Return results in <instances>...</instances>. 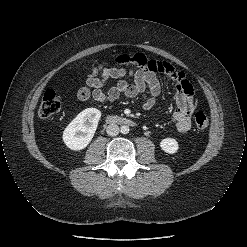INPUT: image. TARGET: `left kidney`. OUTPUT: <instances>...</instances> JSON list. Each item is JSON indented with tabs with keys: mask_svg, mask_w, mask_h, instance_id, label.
I'll return each instance as SVG.
<instances>
[{
	"mask_svg": "<svg viewBox=\"0 0 247 247\" xmlns=\"http://www.w3.org/2000/svg\"><path fill=\"white\" fill-rule=\"evenodd\" d=\"M161 149L169 154H174L178 151V142L173 138H165L160 142Z\"/></svg>",
	"mask_w": 247,
	"mask_h": 247,
	"instance_id": "left-kidney-1",
	"label": "left kidney"
}]
</instances>
